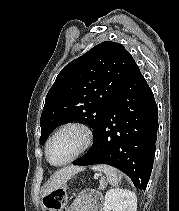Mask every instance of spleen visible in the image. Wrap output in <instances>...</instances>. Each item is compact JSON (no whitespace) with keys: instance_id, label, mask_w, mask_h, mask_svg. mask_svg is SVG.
I'll list each match as a JSON object with an SVG mask.
<instances>
[{"instance_id":"1","label":"spleen","mask_w":179,"mask_h":211,"mask_svg":"<svg viewBox=\"0 0 179 211\" xmlns=\"http://www.w3.org/2000/svg\"><path fill=\"white\" fill-rule=\"evenodd\" d=\"M92 169L98 172H103L111 186L116 187L120 183L121 177L115 168L107 165H99L92 167Z\"/></svg>"}]
</instances>
